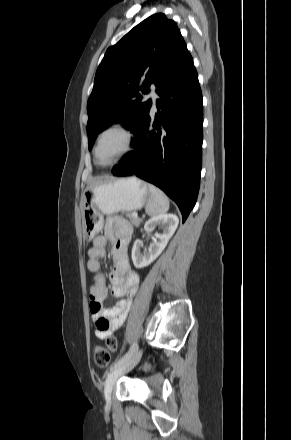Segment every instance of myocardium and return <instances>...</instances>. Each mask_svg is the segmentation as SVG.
Masks as SVG:
<instances>
[{
    "instance_id": "obj_1",
    "label": "myocardium",
    "mask_w": 291,
    "mask_h": 440,
    "mask_svg": "<svg viewBox=\"0 0 291 440\" xmlns=\"http://www.w3.org/2000/svg\"><path fill=\"white\" fill-rule=\"evenodd\" d=\"M117 134L122 139V150L121 152L112 160L106 162L98 161V150L103 142V140L111 135ZM133 146V135L130 129L123 123L115 122L111 123L105 128H103L97 135L95 144L93 146V160L94 163L100 167H111L121 161L124 157H126Z\"/></svg>"
}]
</instances>
